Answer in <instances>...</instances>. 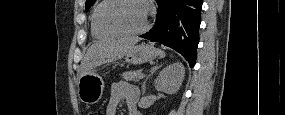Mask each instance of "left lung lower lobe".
<instances>
[{
  "mask_svg": "<svg viewBox=\"0 0 285 115\" xmlns=\"http://www.w3.org/2000/svg\"><path fill=\"white\" fill-rule=\"evenodd\" d=\"M156 24L140 37L160 42L182 54L195 65L201 22V0H156Z\"/></svg>",
  "mask_w": 285,
  "mask_h": 115,
  "instance_id": "0a47b994",
  "label": "left lung lower lobe"
}]
</instances>
